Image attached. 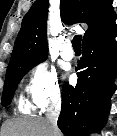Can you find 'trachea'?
<instances>
[{"instance_id":"obj_1","label":"trachea","mask_w":117,"mask_h":136,"mask_svg":"<svg viewBox=\"0 0 117 136\" xmlns=\"http://www.w3.org/2000/svg\"><path fill=\"white\" fill-rule=\"evenodd\" d=\"M81 40L82 36L81 35H76L73 40H72V46L75 51L81 50Z\"/></svg>"}]
</instances>
